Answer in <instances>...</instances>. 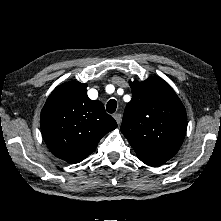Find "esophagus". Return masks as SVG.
<instances>
[{"label":"esophagus","mask_w":221,"mask_h":221,"mask_svg":"<svg viewBox=\"0 0 221 221\" xmlns=\"http://www.w3.org/2000/svg\"><path fill=\"white\" fill-rule=\"evenodd\" d=\"M113 117L116 120L117 124L120 125L122 121V115L120 113H116Z\"/></svg>","instance_id":"esophagus-1"}]
</instances>
